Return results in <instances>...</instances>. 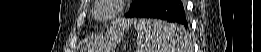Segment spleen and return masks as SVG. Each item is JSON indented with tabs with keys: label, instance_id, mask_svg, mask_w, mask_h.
<instances>
[{
	"label": "spleen",
	"instance_id": "obj_1",
	"mask_svg": "<svg viewBox=\"0 0 261 52\" xmlns=\"http://www.w3.org/2000/svg\"><path fill=\"white\" fill-rule=\"evenodd\" d=\"M134 27L138 32L141 52H180L184 46V34L175 24L157 19H139ZM168 33H172L167 37Z\"/></svg>",
	"mask_w": 261,
	"mask_h": 52
}]
</instances>
